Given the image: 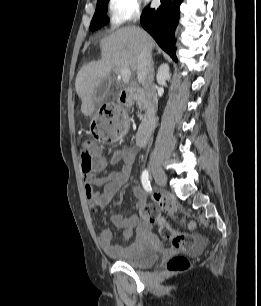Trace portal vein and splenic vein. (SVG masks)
Returning <instances> with one entry per match:
<instances>
[{
  "instance_id": "1",
  "label": "portal vein and splenic vein",
  "mask_w": 261,
  "mask_h": 306,
  "mask_svg": "<svg viewBox=\"0 0 261 306\" xmlns=\"http://www.w3.org/2000/svg\"><path fill=\"white\" fill-rule=\"evenodd\" d=\"M131 70L129 68H124L120 71L118 78L122 79L123 83L127 84L130 81Z\"/></svg>"
}]
</instances>
